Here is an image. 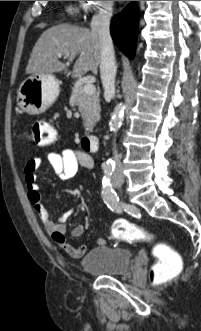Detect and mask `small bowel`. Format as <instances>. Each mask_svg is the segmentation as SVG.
I'll use <instances>...</instances> for the list:
<instances>
[{"mask_svg": "<svg viewBox=\"0 0 201 331\" xmlns=\"http://www.w3.org/2000/svg\"><path fill=\"white\" fill-rule=\"evenodd\" d=\"M47 160L56 175L62 180L72 178L76 174L79 166L88 169L93 168V160L88 154L71 148H63L58 152H49ZM41 166L42 159L38 157L27 160L24 165L23 173L28 199L43 223L46 231L51 234L57 246L67 255L73 258H80L86 253L87 246L80 245L75 247L71 245L65 237V223L73 214L74 209L67 210L58 220H53L51 218L42 202L40 188L37 183L36 172ZM84 231L85 229L83 225H76L72 229V236L75 238L81 237L84 234ZM104 242V238L98 239L99 244H104Z\"/></svg>", "mask_w": 201, "mask_h": 331, "instance_id": "obj_1", "label": "small bowel"}]
</instances>
